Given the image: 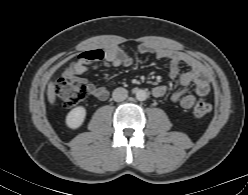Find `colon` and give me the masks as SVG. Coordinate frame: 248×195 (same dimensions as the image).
I'll return each mask as SVG.
<instances>
[{"instance_id": "obj_1", "label": "colon", "mask_w": 248, "mask_h": 195, "mask_svg": "<svg viewBox=\"0 0 248 195\" xmlns=\"http://www.w3.org/2000/svg\"><path fill=\"white\" fill-rule=\"evenodd\" d=\"M54 93L67 107H73L84 100L87 96L85 84L78 79L57 78L52 83ZM211 111V105L203 98L195 101L193 115L196 118H203Z\"/></svg>"}]
</instances>
